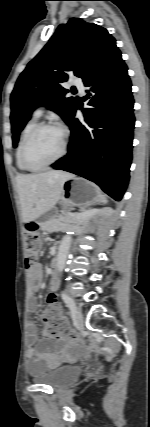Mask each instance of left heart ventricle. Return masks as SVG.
<instances>
[{
  "label": "left heart ventricle",
  "mask_w": 150,
  "mask_h": 427,
  "mask_svg": "<svg viewBox=\"0 0 150 427\" xmlns=\"http://www.w3.org/2000/svg\"><path fill=\"white\" fill-rule=\"evenodd\" d=\"M63 146V134L57 129H42L31 139L26 152L31 167L42 166L56 158Z\"/></svg>",
  "instance_id": "1"
}]
</instances>
